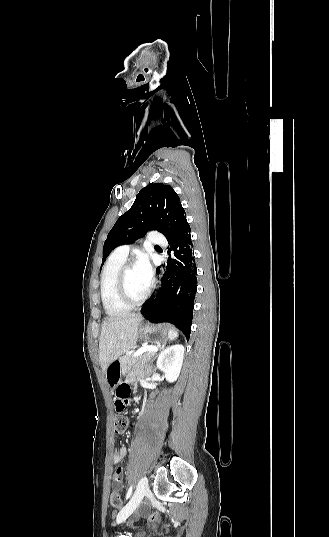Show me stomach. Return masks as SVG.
I'll return each mask as SVG.
<instances>
[{
    "mask_svg": "<svg viewBox=\"0 0 329 537\" xmlns=\"http://www.w3.org/2000/svg\"><path fill=\"white\" fill-rule=\"evenodd\" d=\"M141 335L149 339L153 344H163L167 341L168 331L166 324H158L146 326L141 329ZM121 365L119 360L113 361L106 370V380L110 386H116L118 381H121Z\"/></svg>",
    "mask_w": 329,
    "mask_h": 537,
    "instance_id": "stomach-1",
    "label": "stomach"
}]
</instances>
